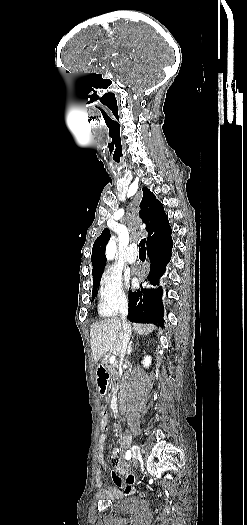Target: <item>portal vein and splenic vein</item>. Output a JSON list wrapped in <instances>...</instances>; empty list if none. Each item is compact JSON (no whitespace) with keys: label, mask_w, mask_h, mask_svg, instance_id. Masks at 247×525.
<instances>
[{"label":"portal vein and splenic vein","mask_w":247,"mask_h":525,"mask_svg":"<svg viewBox=\"0 0 247 525\" xmlns=\"http://www.w3.org/2000/svg\"><path fill=\"white\" fill-rule=\"evenodd\" d=\"M116 361V354H111L110 357H108V362L114 363Z\"/></svg>","instance_id":"portal-vein-and-splenic-vein-1"}]
</instances>
